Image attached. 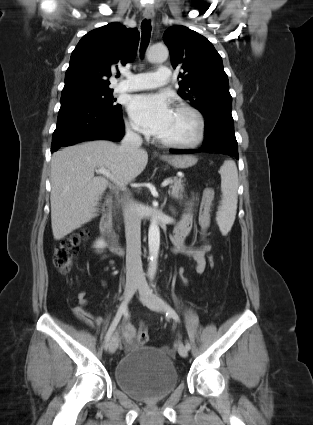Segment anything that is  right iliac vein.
Here are the masks:
<instances>
[{"label":"right iliac vein","instance_id":"63e3f726","mask_svg":"<svg viewBox=\"0 0 313 425\" xmlns=\"http://www.w3.org/2000/svg\"><path fill=\"white\" fill-rule=\"evenodd\" d=\"M138 286H139V283H137V282H129V283L126 284L125 291H124L125 302H127L128 300L131 299V297L133 296V294L137 290ZM117 348H118V335H117V333H115L109 341V351H110V353H114L117 350Z\"/></svg>","mask_w":313,"mask_h":425}]
</instances>
